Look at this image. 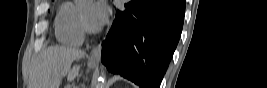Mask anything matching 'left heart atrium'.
Returning <instances> with one entry per match:
<instances>
[{"label":"left heart atrium","instance_id":"left-heart-atrium-1","mask_svg":"<svg viewBox=\"0 0 267 88\" xmlns=\"http://www.w3.org/2000/svg\"><path fill=\"white\" fill-rule=\"evenodd\" d=\"M108 17V7L103 1L95 2L89 12V23L92 26H102Z\"/></svg>","mask_w":267,"mask_h":88}]
</instances>
